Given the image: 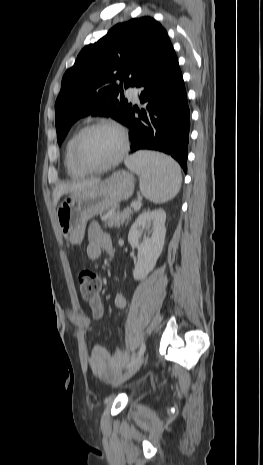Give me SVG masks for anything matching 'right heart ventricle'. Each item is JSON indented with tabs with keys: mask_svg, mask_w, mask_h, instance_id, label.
Returning a JSON list of instances; mask_svg holds the SVG:
<instances>
[{
	"mask_svg": "<svg viewBox=\"0 0 263 465\" xmlns=\"http://www.w3.org/2000/svg\"><path fill=\"white\" fill-rule=\"evenodd\" d=\"M77 132H73L68 138L65 148H64V165L67 171V174L74 179H80L85 177L88 173L81 170L75 163L73 159L72 147L74 138Z\"/></svg>",
	"mask_w": 263,
	"mask_h": 465,
	"instance_id": "right-heart-ventricle-1",
	"label": "right heart ventricle"
}]
</instances>
